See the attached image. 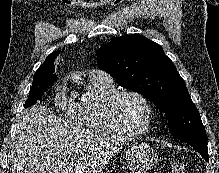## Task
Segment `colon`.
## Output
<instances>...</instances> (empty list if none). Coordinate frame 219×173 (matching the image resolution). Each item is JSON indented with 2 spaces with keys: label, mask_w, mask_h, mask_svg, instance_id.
<instances>
[{
  "label": "colon",
  "mask_w": 219,
  "mask_h": 173,
  "mask_svg": "<svg viewBox=\"0 0 219 173\" xmlns=\"http://www.w3.org/2000/svg\"><path fill=\"white\" fill-rule=\"evenodd\" d=\"M172 173H186V167L183 163L176 162L172 165Z\"/></svg>",
  "instance_id": "obj_1"
}]
</instances>
